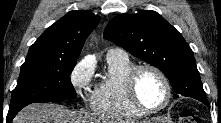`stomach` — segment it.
I'll list each match as a JSON object with an SVG mask.
<instances>
[{
    "label": "stomach",
    "mask_w": 221,
    "mask_h": 123,
    "mask_svg": "<svg viewBox=\"0 0 221 123\" xmlns=\"http://www.w3.org/2000/svg\"><path fill=\"white\" fill-rule=\"evenodd\" d=\"M157 122H158V120H153L150 123H157Z\"/></svg>",
    "instance_id": "1"
}]
</instances>
